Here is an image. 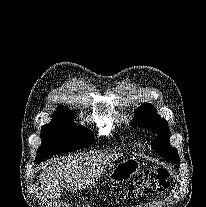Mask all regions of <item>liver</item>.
<instances>
[{
	"mask_svg": "<svg viewBox=\"0 0 206 207\" xmlns=\"http://www.w3.org/2000/svg\"><path fill=\"white\" fill-rule=\"evenodd\" d=\"M114 156H68L56 160L40 174L41 189L46 198L60 195V186L68 190L82 189L102 174Z\"/></svg>",
	"mask_w": 206,
	"mask_h": 207,
	"instance_id": "1",
	"label": "liver"
}]
</instances>
